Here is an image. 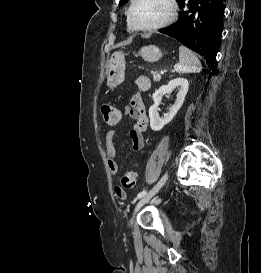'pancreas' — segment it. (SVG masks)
<instances>
[{
    "label": "pancreas",
    "instance_id": "obj_1",
    "mask_svg": "<svg viewBox=\"0 0 261 273\" xmlns=\"http://www.w3.org/2000/svg\"><path fill=\"white\" fill-rule=\"evenodd\" d=\"M151 74L153 75V80L155 82H158L161 80V75L157 71H151Z\"/></svg>",
    "mask_w": 261,
    "mask_h": 273
}]
</instances>
